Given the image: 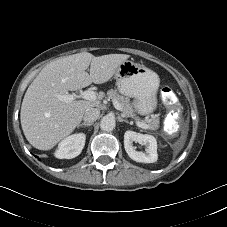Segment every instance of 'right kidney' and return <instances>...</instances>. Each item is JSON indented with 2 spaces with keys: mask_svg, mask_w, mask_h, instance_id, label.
Segmentation results:
<instances>
[{
  "mask_svg": "<svg viewBox=\"0 0 227 227\" xmlns=\"http://www.w3.org/2000/svg\"><path fill=\"white\" fill-rule=\"evenodd\" d=\"M86 136L83 133L73 134L58 144L55 157L59 159H72L78 156L85 145Z\"/></svg>",
  "mask_w": 227,
  "mask_h": 227,
  "instance_id": "obj_1",
  "label": "right kidney"
}]
</instances>
